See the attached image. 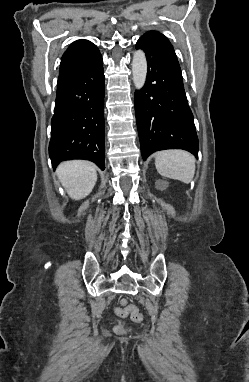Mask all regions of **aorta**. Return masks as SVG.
<instances>
[{"label":"aorta","instance_id":"762f6f07","mask_svg":"<svg viewBox=\"0 0 249 382\" xmlns=\"http://www.w3.org/2000/svg\"><path fill=\"white\" fill-rule=\"evenodd\" d=\"M133 83L137 90L144 87L147 76V60L143 50L138 49L133 54L132 60Z\"/></svg>","mask_w":249,"mask_h":382}]
</instances>
